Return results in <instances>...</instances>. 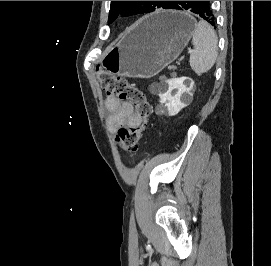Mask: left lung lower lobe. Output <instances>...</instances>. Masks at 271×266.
<instances>
[{"label": "left lung lower lobe", "instance_id": "1", "mask_svg": "<svg viewBox=\"0 0 271 266\" xmlns=\"http://www.w3.org/2000/svg\"><path fill=\"white\" fill-rule=\"evenodd\" d=\"M168 9L189 10L198 14L212 26H216V19L212 12L210 1H173Z\"/></svg>", "mask_w": 271, "mask_h": 266}]
</instances>
